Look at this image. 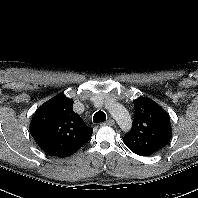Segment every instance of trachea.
<instances>
[{
	"mask_svg": "<svg viewBox=\"0 0 198 198\" xmlns=\"http://www.w3.org/2000/svg\"><path fill=\"white\" fill-rule=\"evenodd\" d=\"M106 121V114L103 111H98L93 116L94 123H100Z\"/></svg>",
	"mask_w": 198,
	"mask_h": 198,
	"instance_id": "3493384b",
	"label": "trachea"
}]
</instances>
